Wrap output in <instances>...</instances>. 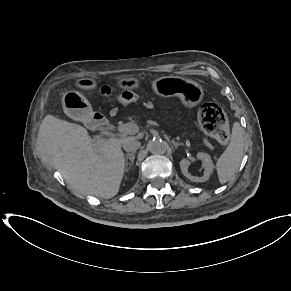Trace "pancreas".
<instances>
[{
	"label": "pancreas",
	"mask_w": 291,
	"mask_h": 291,
	"mask_svg": "<svg viewBox=\"0 0 291 291\" xmlns=\"http://www.w3.org/2000/svg\"><path fill=\"white\" fill-rule=\"evenodd\" d=\"M134 117H135V116H131V117H129V121H130V123H136V122H138V120H134ZM135 118H139V116H137V117H135ZM182 134H183L184 136H186V135H189V136H191V137H194V136H195L194 133H192V134H188L186 131H184Z\"/></svg>",
	"instance_id": "pancreas-1"
}]
</instances>
